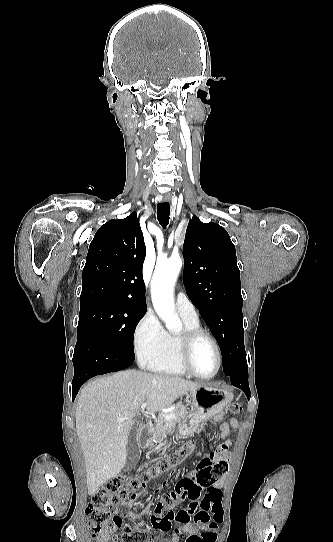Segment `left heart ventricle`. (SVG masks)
<instances>
[{
  "label": "left heart ventricle",
  "mask_w": 333,
  "mask_h": 542,
  "mask_svg": "<svg viewBox=\"0 0 333 542\" xmlns=\"http://www.w3.org/2000/svg\"><path fill=\"white\" fill-rule=\"evenodd\" d=\"M191 366L200 375L208 376L217 368V355L212 344L202 339L193 347L191 354Z\"/></svg>",
  "instance_id": "b2bd125f"
}]
</instances>
